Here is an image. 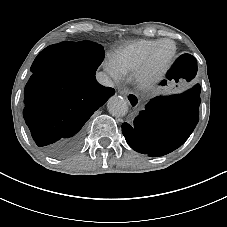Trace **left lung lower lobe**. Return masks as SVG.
Returning <instances> with one entry per match:
<instances>
[{"mask_svg":"<svg viewBox=\"0 0 227 227\" xmlns=\"http://www.w3.org/2000/svg\"><path fill=\"white\" fill-rule=\"evenodd\" d=\"M196 74L182 73L187 80ZM200 85L169 97H156L141 111L134 125L122 124V132L129 146L151 157L166 155L180 147L199 121Z\"/></svg>","mask_w":227,"mask_h":227,"instance_id":"1","label":"left lung lower lobe"}]
</instances>
